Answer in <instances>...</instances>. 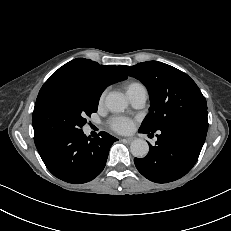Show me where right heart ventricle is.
Returning <instances> with one entry per match:
<instances>
[{
  "mask_svg": "<svg viewBox=\"0 0 231 231\" xmlns=\"http://www.w3.org/2000/svg\"><path fill=\"white\" fill-rule=\"evenodd\" d=\"M145 90L144 86L136 81L130 82L126 85V92L128 96L130 97L132 94L136 93L137 91L140 90Z\"/></svg>",
  "mask_w": 231,
  "mask_h": 231,
  "instance_id": "right-heart-ventricle-1",
  "label": "right heart ventricle"
}]
</instances>
